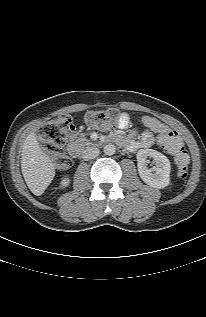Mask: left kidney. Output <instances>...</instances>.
Here are the masks:
<instances>
[{
	"label": "left kidney",
	"instance_id": "obj_1",
	"mask_svg": "<svg viewBox=\"0 0 206 317\" xmlns=\"http://www.w3.org/2000/svg\"><path fill=\"white\" fill-rule=\"evenodd\" d=\"M148 157L155 161L154 169H148ZM137 162L139 176L146 184L158 189L169 185L171 165L165 155L153 149H140L137 152Z\"/></svg>",
	"mask_w": 206,
	"mask_h": 317
}]
</instances>
